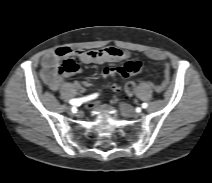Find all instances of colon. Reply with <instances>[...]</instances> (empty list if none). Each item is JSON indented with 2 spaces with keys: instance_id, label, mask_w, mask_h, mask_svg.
<instances>
[{
  "instance_id": "obj_1",
  "label": "colon",
  "mask_w": 212,
  "mask_h": 183,
  "mask_svg": "<svg viewBox=\"0 0 212 183\" xmlns=\"http://www.w3.org/2000/svg\"><path fill=\"white\" fill-rule=\"evenodd\" d=\"M79 71V66L78 64L73 61L72 59H66L64 60L61 65L57 68V75L59 77H62L65 74H70V73H76ZM135 88V83L133 81H128L125 86V92L127 94H132Z\"/></svg>"
}]
</instances>
